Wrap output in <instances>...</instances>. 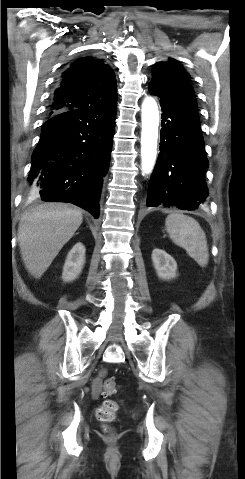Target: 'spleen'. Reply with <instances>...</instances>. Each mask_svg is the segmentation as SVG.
I'll return each instance as SVG.
<instances>
[{"label": "spleen", "instance_id": "1", "mask_svg": "<svg viewBox=\"0 0 245 479\" xmlns=\"http://www.w3.org/2000/svg\"><path fill=\"white\" fill-rule=\"evenodd\" d=\"M165 226L172 241L184 248L199 266L205 267L208 264L206 235L194 218L181 213H172L167 216Z\"/></svg>", "mask_w": 245, "mask_h": 479}]
</instances>
